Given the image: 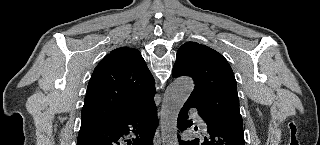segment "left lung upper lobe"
<instances>
[{
	"label": "left lung upper lobe",
	"instance_id": "1",
	"mask_svg": "<svg viewBox=\"0 0 320 145\" xmlns=\"http://www.w3.org/2000/svg\"><path fill=\"white\" fill-rule=\"evenodd\" d=\"M172 74L193 78L195 88L188 99L201 114L243 129L236 80L220 53L196 42H186L177 51Z\"/></svg>",
	"mask_w": 320,
	"mask_h": 145
}]
</instances>
